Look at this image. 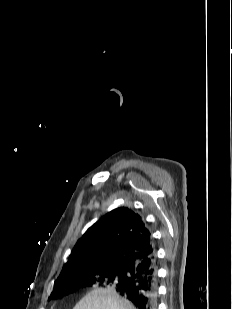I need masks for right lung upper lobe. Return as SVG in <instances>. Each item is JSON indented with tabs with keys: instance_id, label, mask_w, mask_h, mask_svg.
Returning <instances> with one entry per match:
<instances>
[{
	"instance_id": "obj_1",
	"label": "right lung upper lobe",
	"mask_w": 232,
	"mask_h": 309,
	"mask_svg": "<svg viewBox=\"0 0 232 309\" xmlns=\"http://www.w3.org/2000/svg\"><path fill=\"white\" fill-rule=\"evenodd\" d=\"M154 255L153 239L141 216L120 207L102 216L77 241L55 284L94 270L128 273L137 262Z\"/></svg>"
}]
</instances>
